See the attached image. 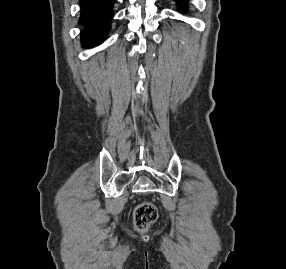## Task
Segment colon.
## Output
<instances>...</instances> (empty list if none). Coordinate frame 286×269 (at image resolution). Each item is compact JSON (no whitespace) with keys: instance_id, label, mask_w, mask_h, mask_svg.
Segmentation results:
<instances>
[{"instance_id":"5ec220e1","label":"colon","mask_w":286,"mask_h":269,"mask_svg":"<svg viewBox=\"0 0 286 269\" xmlns=\"http://www.w3.org/2000/svg\"><path fill=\"white\" fill-rule=\"evenodd\" d=\"M158 212L151 202L140 203L134 211V225L139 231H145L153 222L156 221Z\"/></svg>"}]
</instances>
